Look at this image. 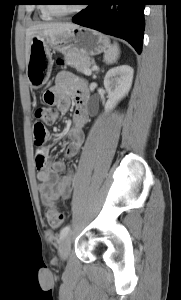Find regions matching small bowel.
<instances>
[{"instance_id": "small-bowel-1", "label": "small bowel", "mask_w": 181, "mask_h": 300, "mask_svg": "<svg viewBox=\"0 0 181 300\" xmlns=\"http://www.w3.org/2000/svg\"><path fill=\"white\" fill-rule=\"evenodd\" d=\"M48 92L54 95L53 105H56L61 113L68 111L71 98L75 101L76 108L68 131L69 141L65 150L67 158H74L79 154L83 145V128L89 120L88 92L85 81L72 73L63 71L58 73ZM44 101L46 103L45 99ZM39 155L44 157L42 165L36 164L39 168L37 178L41 182L39 193L43 203L49 204L61 198H69L74 181V170H66L65 163L61 160L50 159L48 146L42 147L37 152V156Z\"/></svg>"}]
</instances>
